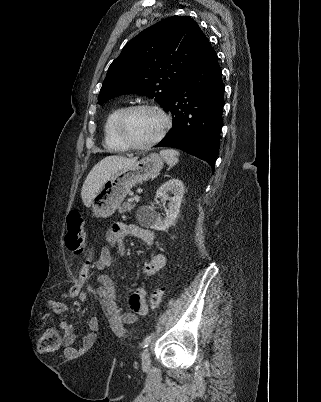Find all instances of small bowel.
<instances>
[{
	"mask_svg": "<svg viewBox=\"0 0 321 402\" xmlns=\"http://www.w3.org/2000/svg\"><path fill=\"white\" fill-rule=\"evenodd\" d=\"M136 237L142 240L146 245H153L155 242V234L153 231L143 228L135 223H115L106 236V245L101 248L98 257L93 263L94 270L102 272L112 265L116 255H124L126 237ZM166 264V256L163 253L154 254L146 258L142 263V273L145 278H152ZM99 284L104 288L108 295L117 301V291L112 278L108 274H99L97 277ZM146 289L139 287L129 298L131 302L145 300ZM88 308V305H85ZM131 308V305H130ZM46 309L54 314H64L68 311V306L62 302H49L46 304ZM132 309V308H131ZM137 312L123 311L122 320L126 324H133L137 321ZM142 314V313H140ZM90 329L84 331V339L82 344H77L75 347L76 334L75 327L72 323L62 321L60 327L64 335V353L67 358H83L84 353H88L89 347H95L96 335L98 332L97 322H90Z\"/></svg>",
	"mask_w": 321,
	"mask_h": 402,
	"instance_id": "c3829d8e",
	"label": "small bowel"
}]
</instances>
